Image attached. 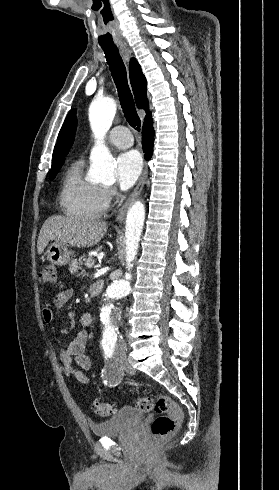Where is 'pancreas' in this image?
I'll return each mask as SVG.
<instances>
[{"instance_id": "obj_1", "label": "pancreas", "mask_w": 279, "mask_h": 490, "mask_svg": "<svg viewBox=\"0 0 279 490\" xmlns=\"http://www.w3.org/2000/svg\"><path fill=\"white\" fill-rule=\"evenodd\" d=\"M69 266L70 274H77V278H79V276H82L83 272H80V270H82L83 260H72Z\"/></svg>"}]
</instances>
